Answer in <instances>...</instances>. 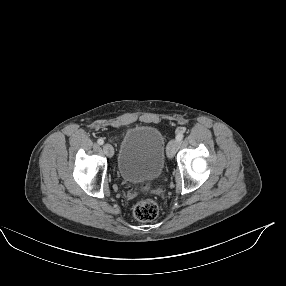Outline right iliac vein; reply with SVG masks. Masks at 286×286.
Returning <instances> with one entry per match:
<instances>
[{"mask_svg": "<svg viewBox=\"0 0 286 286\" xmlns=\"http://www.w3.org/2000/svg\"><path fill=\"white\" fill-rule=\"evenodd\" d=\"M103 151L108 157H112L114 155V148L111 144H105L103 146Z\"/></svg>", "mask_w": 286, "mask_h": 286, "instance_id": "63e3f726", "label": "right iliac vein"}]
</instances>
